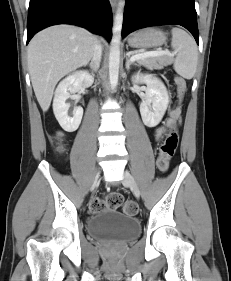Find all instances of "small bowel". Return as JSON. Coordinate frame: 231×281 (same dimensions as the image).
Returning <instances> with one entry per match:
<instances>
[{
  "label": "small bowel",
  "instance_id": "small-bowel-1",
  "mask_svg": "<svg viewBox=\"0 0 231 281\" xmlns=\"http://www.w3.org/2000/svg\"><path fill=\"white\" fill-rule=\"evenodd\" d=\"M181 109L180 106L174 104L169 110V116L163 122V124L156 128L155 130V138L160 140L164 137L165 133L168 129L174 127L181 122Z\"/></svg>",
  "mask_w": 231,
  "mask_h": 281
}]
</instances>
